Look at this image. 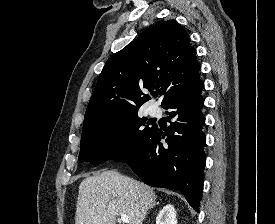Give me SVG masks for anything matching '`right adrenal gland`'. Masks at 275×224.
<instances>
[{
  "instance_id": "obj_1",
  "label": "right adrenal gland",
  "mask_w": 275,
  "mask_h": 224,
  "mask_svg": "<svg viewBox=\"0 0 275 224\" xmlns=\"http://www.w3.org/2000/svg\"><path fill=\"white\" fill-rule=\"evenodd\" d=\"M155 205H159V202L154 203L152 207H154ZM152 207H151V208H152Z\"/></svg>"
}]
</instances>
